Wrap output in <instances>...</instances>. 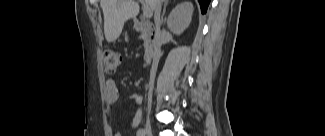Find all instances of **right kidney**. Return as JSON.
<instances>
[{
    "mask_svg": "<svg viewBox=\"0 0 325 136\" xmlns=\"http://www.w3.org/2000/svg\"><path fill=\"white\" fill-rule=\"evenodd\" d=\"M193 5L189 1L178 4L170 13L167 25L171 32L176 35L183 33L191 23Z\"/></svg>",
    "mask_w": 325,
    "mask_h": 136,
    "instance_id": "ca27d5eb",
    "label": "right kidney"
}]
</instances>
